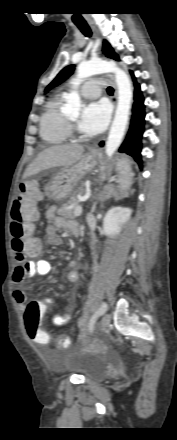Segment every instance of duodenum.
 <instances>
[{"label": "duodenum", "mask_w": 177, "mask_h": 440, "mask_svg": "<svg viewBox=\"0 0 177 440\" xmlns=\"http://www.w3.org/2000/svg\"><path fill=\"white\" fill-rule=\"evenodd\" d=\"M72 232H73L74 235L78 236V235L80 234V228H79V226L77 225L76 227H74V228L72 229Z\"/></svg>", "instance_id": "1"}]
</instances>
